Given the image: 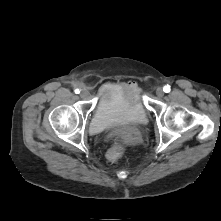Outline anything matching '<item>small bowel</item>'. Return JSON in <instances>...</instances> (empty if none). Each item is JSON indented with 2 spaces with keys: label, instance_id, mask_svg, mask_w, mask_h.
<instances>
[{
  "label": "small bowel",
  "instance_id": "small-bowel-1",
  "mask_svg": "<svg viewBox=\"0 0 221 221\" xmlns=\"http://www.w3.org/2000/svg\"><path fill=\"white\" fill-rule=\"evenodd\" d=\"M122 87L125 89H129V90H137V87H136L135 83H133V82L123 84Z\"/></svg>",
  "mask_w": 221,
  "mask_h": 221
}]
</instances>
